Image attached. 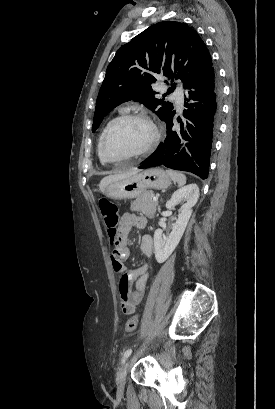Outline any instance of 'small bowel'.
Segmentation results:
<instances>
[{"instance_id":"c3829d8e","label":"small bowel","mask_w":275,"mask_h":409,"mask_svg":"<svg viewBox=\"0 0 275 409\" xmlns=\"http://www.w3.org/2000/svg\"><path fill=\"white\" fill-rule=\"evenodd\" d=\"M141 224L142 220L138 216L129 213L124 214L119 226L120 245L111 254L112 268L116 273L121 274L118 291L121 299V309L124 314L134 313L137 306L142 302L150 274L149 261L133 270H129L123 262L130 256L128 247L129 232L133 227ZM140 250L148 260L151 258L153 238L150 235L142 236Z\"/></svg>"}]
</instances>
